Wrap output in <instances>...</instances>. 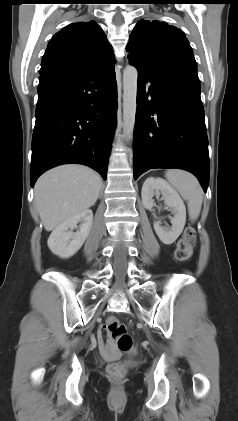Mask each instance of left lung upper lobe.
Returning <instances> with one entry per match:
<instances>
[{"mask_svg":"<svg viewBox=\"0 0 238 421\" xmlns=\"http://www.w3.org/2000/svg\"><path fill=\"white\" fill-rule=\"evenodd\" d=\"M126 51L131 64L151 75L197 71L192 48L183 31L164 22L139 21Z\"/></svg>","mask_w":238,"mask_h":421,"instance_id":"obj_1","label":"left lung upper lobe"}]
</instances>
